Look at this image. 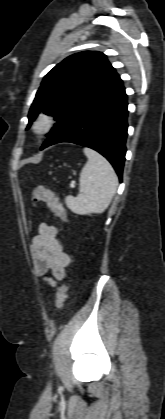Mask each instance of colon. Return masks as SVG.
<instances>
[{
    "label": "colon",
    "mask_w": 165,
    "mask_h": 419,
    "mask_svg": "<svg viewBox=\"0 0 165 419\" xmlns=\"http://www.w3.org/2000/svg\"><path fill=\"white\" fill-rule=\"evenodd\" d=\"M32 199L34 202L44 203L55 216L62 221H66L67 217L64 208L51 190L45 187H36L32 192ZM67 290L68 284L65 281L59 286L56 295V308L58 310L63 307L66 301Z\"/></svg>",
    "instance_id": "obj_1"
}]
</instances>
